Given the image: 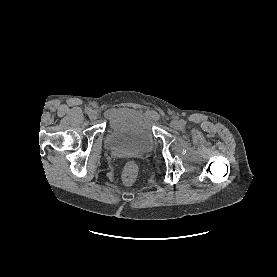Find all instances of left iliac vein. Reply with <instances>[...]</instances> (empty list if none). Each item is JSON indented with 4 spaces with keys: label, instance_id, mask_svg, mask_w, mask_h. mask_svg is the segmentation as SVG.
Returning a JSON list of instances; mask_svg holds the SVG:
<instances>
[{
    "label": "left iliac vein",
    "instance_id": "4c4485c4",
    "mask_svg": "<svg viewBox=\"0 0 277 277\" xmlns=\"http://www.w3.org/2000/svg\"><path fill=\"white\" fill-rule=\"evenodd\" d=\"M170 126L173 128V129H179L181 127V122L174 119L170 122Z\"/></svg>",
    "mask_w": 277,
    "mask_h": 277
}]
</instances>
